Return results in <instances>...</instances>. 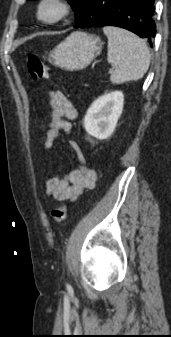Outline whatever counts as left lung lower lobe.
I'll use <instances>...</instances> for the list:
<instances>
[{
  "instance_id": "left-lung-lower-lobe-1",
  "label": "left lung lower lobe",
  "mask_w": 171,
  "mask_h": 337,
  "mask_svg": "<svg viewBox=\"0 0 171 337\" xmlns=\"http://www.w3.org/2000/svg\"><path fill=\"white\" fill-rule=\"evenodd\" d=\"M155 0H88L75 28L118 26L142 38L155 37Z\"/></svg>"
}]
</instances>
